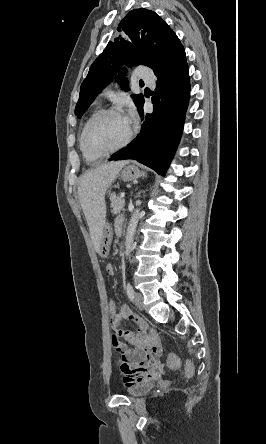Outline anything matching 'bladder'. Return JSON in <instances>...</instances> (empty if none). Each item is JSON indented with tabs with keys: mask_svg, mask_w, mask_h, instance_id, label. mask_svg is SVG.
Returning a JSON list of instances; mask_svg holds the SVG:
<instances>
[{
	"mask_svg": "<svg viewBox=\"0 0 266 444\" xmlns=\"http://www.w3.org/2000/svg\"><path fill=\"white\" fill-rule=\"evenodd\" d=\"M154 385L152 383L135 385L133 387L128 388L127 394L131 397H142L154 389Z\"/></svg>",
	"mask_w": 266,
	"mask_h": 444,
	"instance_id": "bladder-1",
	"label": "bladder"
}]
</instances>
